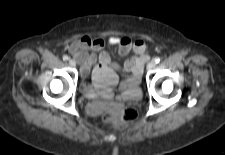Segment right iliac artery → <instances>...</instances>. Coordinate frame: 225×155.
<instances>
[{
	"label": "right iliac artery",
	"mask_w": 225,
	"mask_h": 155,
	"mask_svg": "<svg viewBox=\"0 0 225 155\" xmlns=\"http://www.w3.org/2000/svg\"><path fill=\"white\" fill-rule=\"evenodd\" d=\"M63 60H64V61H68V60H69V57H68L67 55H64V56H63Z\"/></svg>",
	"instance_id": "1"
}]
</instances>
